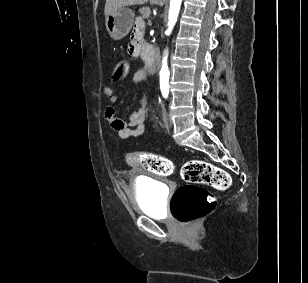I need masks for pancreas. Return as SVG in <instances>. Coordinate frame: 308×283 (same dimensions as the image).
Returning <instances> with one entry per match:
<instances>
[{
	"instance_id": "1",
	"label": "pancreas",
	"mask_w": 308,
	"mask_h": 283,
	"mask_svg": "<svg viewBox=\"0 0 308 283\" xmlns=\"http://www.w3.org/2000/svg\"><path fill=\"white\" fill-rule=\"evenodd\" d=\"M139 12L144 19H149L151 13L149 7H143L139 10Z\"/></svg>"
}]
</instances>
